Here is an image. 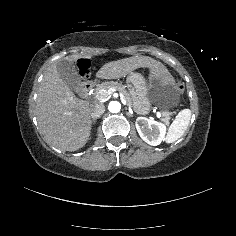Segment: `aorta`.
Returning a JSON list of instances; mask_svg holds the SVG:
<instances>
[{
  "mask_svg": "<svg viewBox=\"0 0 236 236\" xmlns=\"http://www.w3.org/2000/svg\"><path fill=\"white\" fill-rule=\"evenodd\" d=\"M121 109V104L118 101H111L108 105V110L111 113H118Z\"/></svg>",
  "mask_w": 236,
  "mask_h": 236,
  "instance_id": "762f6f07",
  "label": "aorta"
}]
</instances>
